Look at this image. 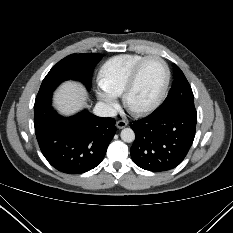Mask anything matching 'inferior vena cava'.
<instances>
[{"mask_svg": "<svg viewBox=\"0 0 233 233\" xmlns=\"http://www.w3.org/2000/svg\"><path fill=\"white\" fill-rule=\"evenodd\" d=\"M93 113L100 117H114L117 115L116 110L112 106L104 102H98L95 105Z\"/></svg>", "mask_w": 233, "mask_h": 233, "instance_id": "1", "label": "inferior vena cava"}]
</instances>
